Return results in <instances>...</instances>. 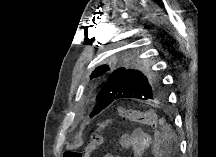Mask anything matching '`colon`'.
<instances>
[{
	"label": "colon",
	"mask_w": 216,
	"mask_h": 157,
	"mask_svg": "<svg viewBox=\"0 0 216 157\" xmlns=\"http://www.w3.org/2000/svg\"><path fill=\"white\" fill-rule=\"evenodd\" d=\"M117 119L122 121H133L148 125L152 129H157L160 122L157 116L151 110H136L128 108H119L117 110ZM112 120L107 119L99 122L91 133L86 146L81 150H67L64 157H90L97 150L103 140V132Z\"/></svg>",
	"instance_id": "1"
}]
</instances>
